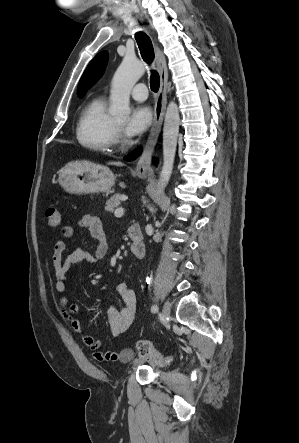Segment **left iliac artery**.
<instances>
[{"label":"left iliac artery","mask_w":299,"mask_h":443,"mask_svg":"<svg viewBox=\"0 0 299 443\" xmlns=\"http://www.w3.org/2000/svg\"><path fill=\"white\" fill-rule=\"evenodd\" d=\"M152 312H157L158 311V306L157 305H153L151 308Z\"/></svg>","instance_id":"obj_1"}]
</instances>
